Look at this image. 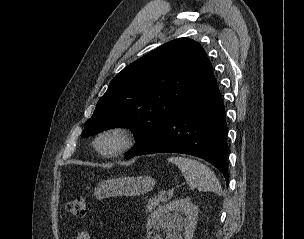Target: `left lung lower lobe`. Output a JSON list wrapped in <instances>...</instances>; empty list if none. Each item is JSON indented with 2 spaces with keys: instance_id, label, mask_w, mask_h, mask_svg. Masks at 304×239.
<instances>
[{
  "instance_id": "obj_1",
  "label": "left lung lower lobe",
  "mask_w": 304,
  "mask_h": 239,
  "mask_svg": "<svg viewBox=\"0 0 304 239\" xmlns=\"http://www.w3.org/2000/svg\"><path fill=\"white\" fill-rule=\"evenodd\" d=\"M163 152L202 158L220 170L228 184L225 108L213 74L150 142L126 158Z\"/></svg>"
}]
</instances>
